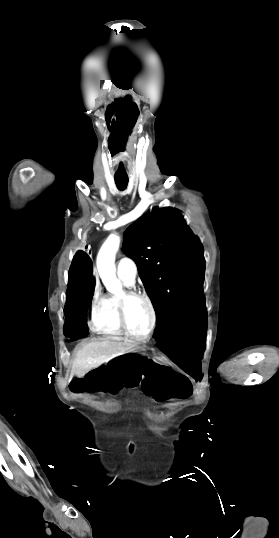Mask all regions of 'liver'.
Wrapping results in <instances>:
<instances>
[{
  "mask_svg": "<svg viewBox=\"0 0 279 538\" xmlns=\"http://www.w3.org/2000/svg\"><path fill=\"white\" fill-rule=\"evenodd\" d=\"M131 348H133L132 344L119 342L116 338H98L96 342L86 344L82 350L77 352L70 378H73V376L83 378L87 372L102 366L112 358L121 356V354H128V352H131Z\"/></svg>",
  "mask_w": 279,
  "mask_h": 538,
  "instance_id": "6515ba94",
  "label": "liver"
}]
</instances>
